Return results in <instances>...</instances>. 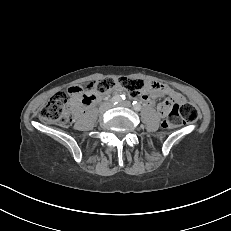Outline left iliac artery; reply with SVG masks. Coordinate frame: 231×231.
Instances as JSON below:
<instances>
[{
  "instance_id": "left-iliac-artery-1",
  "label": "left iliac artery",
  "mask_w": 231,
  "mask_h": 231,
  "mask_svg": "<svg viewBox=\"0 0 231 231\" xmlns=\"http://www.w3.org/2000/svg\"><path fill=\"white\" fill-rule=\"evenodd\" d=\"M132 105H133V107H134V109H135L136 111H140L141 105H140L139 102L133 101Z\"/></svg>"
}]
</instances>
